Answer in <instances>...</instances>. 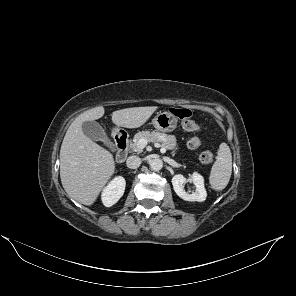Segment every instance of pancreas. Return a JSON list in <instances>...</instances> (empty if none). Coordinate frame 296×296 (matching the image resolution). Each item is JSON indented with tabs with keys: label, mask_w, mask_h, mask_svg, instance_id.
I'll return each instance as SVG.
<instances>
[{
	"label": "pancreas",
	"mask_w": 296,
	"mask_h": 296,
	"mask_svg": "<svg viewBox=\"0 0 296 296\" xmlns=\"http://www.w3.org/2000/svg\"><path fill=\"white\" fill-rule=\"evenodd\" d=\"M140 139H145L147 142H159L160 146L167 149V150H174L177 146L176 137L173 135H167L160 132L155 131H143L139 132L134 136L133 142L130 143V147L133 151L140 153V150L137 147V143Z\"/></svg>",
	"instance_id": "1"
}]
</instances>
